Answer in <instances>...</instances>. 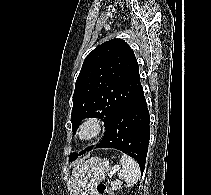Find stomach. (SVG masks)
<instances>
[{
	"instance_id": "0dacf381",
	"label": "stomach",
	"mask_w": 211,
	"mask_h": 195,
	"mask_svg": "<svg viewBox=\"0 0 211 195\" xmlns=\"http://www.w3.org/2000/svg\"><path fill=\"white\" fill-rule=\"evenodd\" d=\"M110 170L111 165L108 159L93 158V160L87 164L79 195H94V186L100 183Z\"/></svg>"
}]
</instances>
